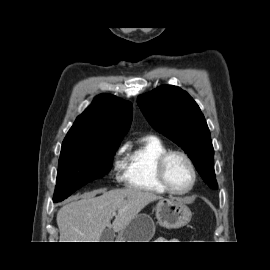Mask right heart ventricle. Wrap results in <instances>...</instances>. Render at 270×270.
<instances>
[{"mask_svg":"<svg viewBox=\"0 0 270 270\" xmlns=\"http://www.w3.org/2000/svg\"><path fill=\"white\" fill-rule=\"evenodd\" d=\"M167 150L166 145L158 137L142 138L127 154L123 174L126 186L152 194L166 193L158 181L156 163Z\"/></svg>","mask_w":270,"mask_h":270,"instance_id":"right-heart-ventricle-1","label":"right heart ventricle"}]
</instances>
